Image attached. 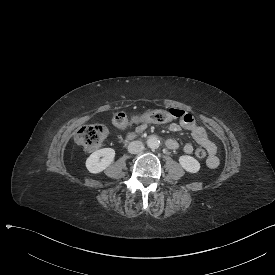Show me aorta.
<instances>
[{
    "instance_id": "1",
    "label": "aorta",
    "mask_w": 275,
    "mask_h": 275,
    "mask_svg": "<svg viewBox=\"0 0 275 275\" xmlns=\"http://www.w3.org/2000/svg\"><path fill=\"white\" fill-rule=\"evenodd\" d=\"M160 145V141L156 136H151L147 140V146L151 149H157Z\"/></svg>"
}]
</instances>
